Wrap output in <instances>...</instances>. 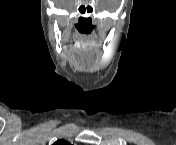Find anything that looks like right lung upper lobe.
<instances>
[{
	"instance_id": "1",
	"label": "right lung upper lobe",
	"mask_w": 176,
	"mask_h": 145,
	"mask_svg": "<svg viewBox=\"0 0 176 145\" xmlns=\"http://www.w3.org/2000/svg\"><path fill=\"white\" fill-rule=\"evenodd\" d=\"M69 143L65 140H58L53 145H68Z\"/></svg>"
}]
</instances>
